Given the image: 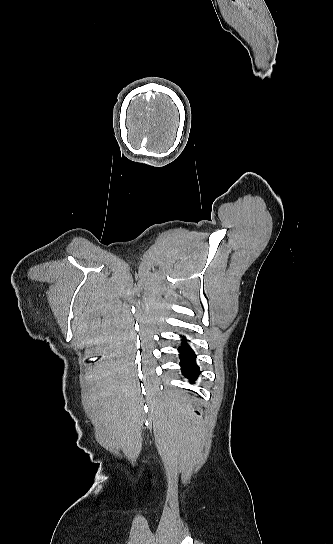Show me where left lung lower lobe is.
Returning <instances> with one entry per match:
<instances>
[{"label":"left lung lower lobe","mask_w":333,"mask_h":544,"mask_svg":"<svg viewBox=\"0 0 333 544\" xmlns=\"http://www.w3.org/2000/svg\"><path fill=\"white\" fill-rule=\"evenodd\" d=\"M180 352V365L185 377L189 378L193 382L200 373L199 367L196 364V355L191 347L187 344V340L183 336L181 347L178 348Z\"/></svg>","instance_id":"left-lung-lower-lobe-1"}]
</instances>
